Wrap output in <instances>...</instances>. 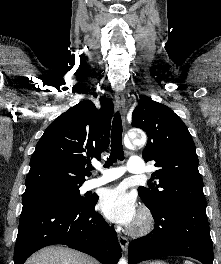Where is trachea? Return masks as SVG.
<instances>
[{
	"mask_svg": "<svg viewBox=\"0 0 221 264\" xmlns=\"http://www.w3.org/2000/svg\"><path fill=\"white\" fill-rule=\"evenodd\" d=\"M117 160H124V151L122 145V122L120 114L117 112L113 118L112 122V132H111V153L107 159L104 167L108 168ZM93 170V167L89 168Z\"/></svg>",
	"mask_w": 221,
	"mask_h": 264,
	"instance_id": "1",
	"label": "trachea"
}]
</instances>
